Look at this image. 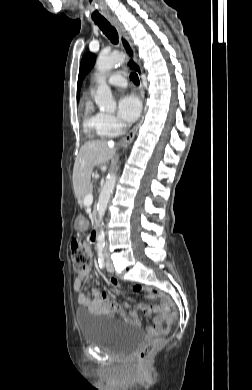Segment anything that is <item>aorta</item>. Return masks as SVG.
<instances>
[{
  "label": "aorta",
  "instance_id": "1",
  "mask_svg": "<svg viewBox=\"0 0 252 390\" xmlns=\"http://www.w3.org/2000/svg\"><path fill=\"white\" fill-rule=\"evenodd\" d=\"M123 61L124 57L117 53H112L109 55L100 54L96 61V81L98 87L95 95V102L101 111L112 112L116 109V102L113 99L110 87L106 83L105 74ZM117 170L118 167H116L114 173L108 175L98 199L97 213L100 230L97 234V242L99 244H103L105 240L104 231L102 229V220L111 194L115 187Z\"/></svg>",
  "mask_w": 252,
  "mask_h": 390
}]
</instances>
